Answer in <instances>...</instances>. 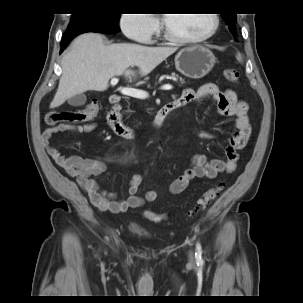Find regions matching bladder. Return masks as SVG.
<instances>
[{
  "label": "bladder",
  "mask_w": 303,
  "mask_h": 303,
  "mask_svg": "<svg viewBox=\"0 0 303 303\" xmlns=\"http://www.w3.org/2000/svg\"><path fill=\"white\" fill-rule=\"evenodd\" d=\"M129 229L135 235H138V236L145 235V229H144V227L140 226L137 223L131 224L130 227H129Z\"/></svg>",
  "instance_id": "31cf9c89"
}]
</instances>
